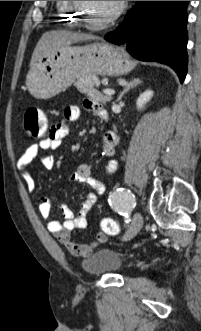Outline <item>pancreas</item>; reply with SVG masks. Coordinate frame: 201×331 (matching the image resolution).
<instances>
[{"label": "pancreas", "mask_w": 201, "mask_h": 331, "mask_svg": "<svg viewBox=\"0 0 201 331\" xmlns=\"http://www.w3.org/2000/svg\"><path fill=\"white\" fill-rule=\"evenodd\" d=\"M95 75H87L78 78L74 83L75 87L83 94H87L89 97L94 98L97 101L106 103L111 101L110 96H103L95 89L96 82L94 81Z\"/></svg>", "instance_id": "obj_1"}]
</instances>
